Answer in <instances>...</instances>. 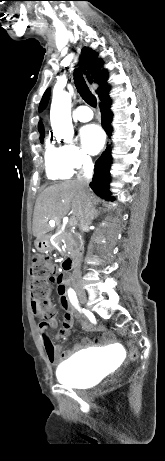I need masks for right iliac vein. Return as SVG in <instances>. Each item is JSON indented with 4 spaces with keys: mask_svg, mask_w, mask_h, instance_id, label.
Segmentation results:
<instances>
[{
    "mask_svg": "<svg viewBox=\"0 0 165 461\" xmlns=\"http://www.w3.org/2000/svg\"><path fill=\"white\" fill-rule=\"evenodd\" d=\"M77 294H78V299H79V301H80L82 304L86 305V304H87V301H88L87 296H86V293H85L82 289H78V290H77Z\"/></svg>",
    "mask_w": 165,
    "mask_h": 461,
    "instance_id": "obj_1",
    "label": "right iliac vein"
}]
</instances>
